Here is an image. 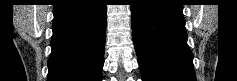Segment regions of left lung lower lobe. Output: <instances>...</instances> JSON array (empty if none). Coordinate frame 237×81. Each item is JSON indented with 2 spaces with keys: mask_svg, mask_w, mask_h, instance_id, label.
<instances>
[{
  "mask_svg": "<svg viewBox=\"0 0 237 81\" xmlns=\"http://www.w3.org/2000/svg\"><path fill=\"white\" fill-rule=\"evenodd\" d=\"M180 0H135L133 42L142 81H196Z\"/></svg>",
  "mask_w": 237,
  "mask_h": 81,
  "instance_id": "obj_1",
  "label": "left lung lower lobe"
}]
</instances>
